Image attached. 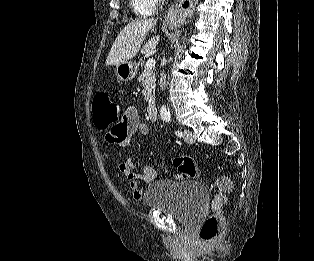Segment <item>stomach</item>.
Instances as JSON below:
<instances>
[{
  "label": "stomach",
  "mask_w": 314,
  "mask_h": 261,
  "mask_svg": "<svg viewBox=\"0 0 314 261\" xmlns=\"http://www.w3.org/2000/svg\"><path fill=\"white\" fill-rule=\"evenodd\" d=\"M138 64L135 61H126L116 65L117 79L123 82L131 81L137 73Z\"/></svg>",
  "instance_id": "stomach-1"
}]
</instances>
